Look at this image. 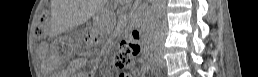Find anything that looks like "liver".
<instances>
[{"instance_id": "6515ba94", "label": "liver", "mask_w": 258, "mask_h": 77, "mask_svg": "<svg viewBox=\"0 0 258 77\" xmlns=\"http://www.w3.org/2000/svg\"><path fill=\"white\" fill-rule=\"evenodd\" d=\"M56 4L52 8V13L59 16L60 19L69 24L70 26L75 25L77 20L78 8L75 0H60L54 1Z\"/></svg>"}]
</instances>
